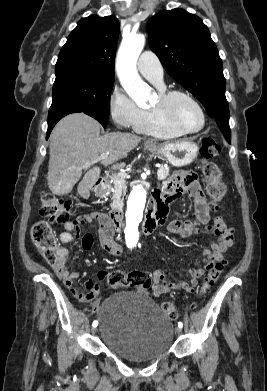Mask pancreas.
Instances as JSON below:
<instances>
[{"mask_svg":"<svg viewBox=\"0 0 267 391\" xmlns=\"http://www.w3.org/2000/svg\"><path fill=\"white\" fill-rule=\"evenodd\" d=\"M169 171V167H160L157 172L158 179L165 180L169 175ZM108 191L112 192L113 203L111 204V207L113 209L119 208L121 206L119 202L123 199V196L127 191L125 178H114V180L108 184Z\"/></svg>","mask_w":267,"mask_h":391,"instance_id":"pancreas-1","label":"pancreas"}]
</instances>
